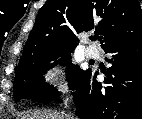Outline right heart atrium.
<instances>
[{
  "instance_id": "1",
  "label": "right heart atrium",
  "mask_w": 142,
  "mask_h": 119,
  "mask_svg": "<svg viewBox=\"0 0 142 119\" xmlns=\"http://www.w3.org/2000/svg\"><path fill=\"white\" fill-rule=\"evenodd\" d=\"M43 80L46 86L56 90L57 92H64L68 89V84L64 80L60 70L56 67L47 69Z\"/></svg>"
}]
</instances>
